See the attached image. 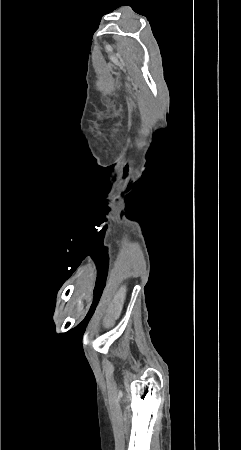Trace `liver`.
Here are the masks:
<instances>
[{"mask_svg":"<svg viewBox=\"0 0 241 450\" xmlns=\"http://www.w3.org/2000/svg\"><path fill=\"white\" fill-rule=\"evenodd\" d=\"M125 296H126V286H122V288H120L115 300L116 302H124L125 300Z\"/></svg>","mask_w":241,"mask_h":450,"instance_id":"1","label":"liver"}]
</instances>
